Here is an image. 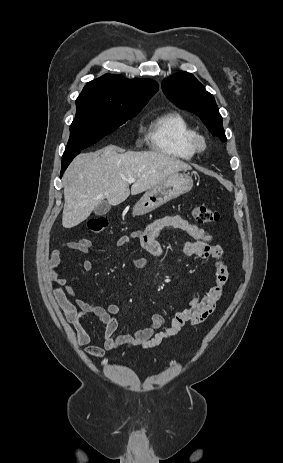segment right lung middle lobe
<instances>
[{
  "label": "right lung middle lobe",
  "mask_w": 283,
  "mask_h": 463,
  "mask_svg": "<svg viewBox=\"0 0 283 463\" xmlns=\"http://www.w3.org/2000/svg\"><path fill=\"white\" fill-rule=\"evenodd\" d=\"M145 105L78 97L76 117L71 124L70 138L63 155L93 145L135 117Z\"/></svg>",
  "instance_id": "right-lung-middle-lobe-1"
}]
</instances>
